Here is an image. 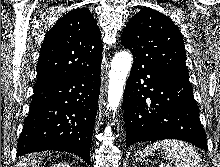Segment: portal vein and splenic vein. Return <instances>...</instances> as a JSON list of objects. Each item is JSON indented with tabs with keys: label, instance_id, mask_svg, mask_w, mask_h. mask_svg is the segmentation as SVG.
Here are the masks:
<instances>
[{
	"label": "portal vein and splenic vein",
	"instance_id": "portal-vein-and-splenic-vein-1",
	"mask_svg": "<svg viewBox=\"0 0 220 167\" xmlns=\"http://www.w3.org/2000/svg\"><path fill=\"white\" fill-rule=\"evenodd\" d=\"M161 167H170L169 165H162Z\"/></svg>",
	"mask_w": 220,
	"mask_h": 167
}]
</instances>
